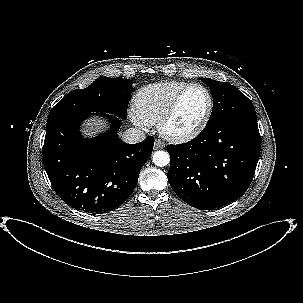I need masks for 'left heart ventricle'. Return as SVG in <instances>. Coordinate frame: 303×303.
I'll list each match as a JSON object with an SVG mask.
<instances>
[{
	"label": "left heart ventricle",
	"mask_w": 303,
	"mask_h": 303,
	"mask_svg": "<svg viewBox=\"0 0 303 303\" xmlns=\"http://www.w3.org/2000/svg\"><path fill=\"white\" fill-rule=\"evenodd\" d=\"M208 105L205 92L200 88L191 89L182 99L175 115L168 124L174 133L186 132L195 127L203 117Z\"/></svg>",
	"instance_id": "b2bd125f"
}]
</instances>
